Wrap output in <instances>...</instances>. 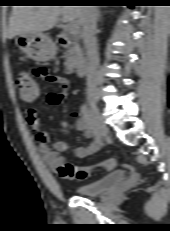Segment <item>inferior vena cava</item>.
<instances>
[{"label": "inferior vena cava", "instance_id": "602c4592", "mask_svg": "<svg viewBox=\"0 0 170 231\" xmlns=\"http://www.w3.org/2000/svg\"><path fill=\"white\" fill-rule=\"evenodd\" d=\"M81 10L82 37L88 56L87 92L93 94L96 90L97 69L99 65L98 48L95 38L97 9L96 6H82Z\"/></svg>", "mask_w": 170, "mask_h": 231}]
</instances>
